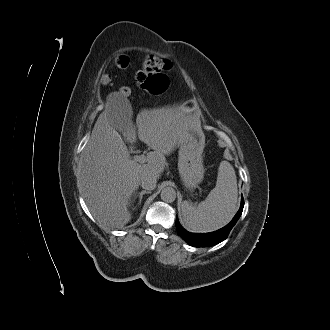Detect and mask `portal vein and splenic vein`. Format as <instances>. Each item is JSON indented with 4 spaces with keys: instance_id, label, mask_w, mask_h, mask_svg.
<instances>
[{
    "instance_id": "portal-vein-and-splenic-vein-1",
    "label": "portal vein and splenic vein",
    "mask_w": 330,
    "mask_h": 330,
    "mask_svg": "<svg viewBox=\"0 0 330 330\" xmlns=\"http://www.w3.org/2000/svg\"><path fill=\"white\" fill-rule=\"evenodd\" d=\"M135 160L139 163H145L146 162V156L145 155H139V156H136Z\"/></svg>"
}]
</instances>
